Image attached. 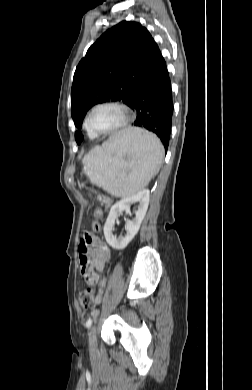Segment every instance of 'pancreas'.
<instances>
[{
    "mask_svg": "<svg viewBox=\"0 0 252 390\" xmlns=\"http://www.w3.org/2000/svg\"><path fill=\"white\" fill-rule=\"evenodd\" d=\"M111 203H112L111 199L107 197H104L101 200V204L104 205L105 207H110Z\"/></svg>",
    "mask_w": 252,
    "mask_h": 390,
    "instance_id": "pancreas-1",
    "label": "pancreas"
}]
</instances>
